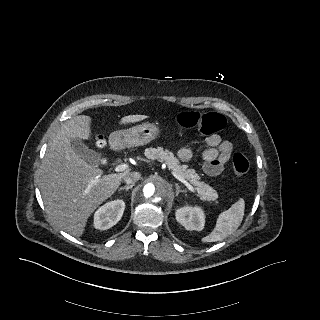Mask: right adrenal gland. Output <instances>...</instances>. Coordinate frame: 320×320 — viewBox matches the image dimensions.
<instances>
[{
  "instance_id": "2a0ac1e0",
  "label": "right adrenal gland",
  "mask_w": 320,
  "mask_h": 320,
  "mask_svg": "<svg viewBox=\"0 0 320 320\" xmlns=\"http://www.w3.org/2000/svg\"><path fill=\"white\" fill-rule=\"evenodd\" d=\"M134 187V184H131V185H128V186H124V187H121L119 189V192L122 191V190H129V189H132Z\"/></svg>"
}]
</instances>
